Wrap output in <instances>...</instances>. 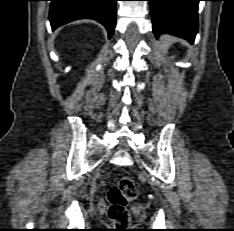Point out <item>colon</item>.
Here are the masks:
<instances>
[{"mask_svg": "<svg viewBox=\"0 0 234 231\" xmlns=\"http://www.w3.org/2000/svg\"><path fill=\"white\" fill-rule=\"evenodd\" d=\"M138 195V190L131 177H122L116 185L111 187L107 194L108 217L119 230H128L131 217L128 205Z\"/></svg>", "mask_w": 234, "mask_h": 231, "instance_id": "5ec220e1", "label": "colon"}]
</instances>
